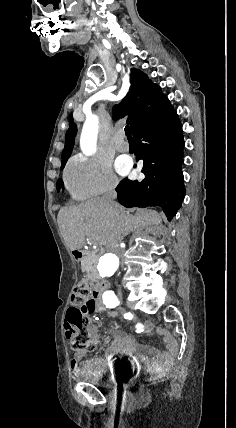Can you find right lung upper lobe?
I'll list each match as a JSON object with an SVG mask.
<instances>
[{"label":"right lung upper lobe","mask_w":236,"mask_h":428,"mask_svg":"<svg viewBox=\"0 0 236 428\" xmlns=\"http://www.w3.org/2000/svg\"><path fill=\"white\" fill-rule=\"evenodd\" d=\"M131 82L130 91L119 105L114 106L113 114L115 119L129 115L127 123L134 131L143 122L166 111L171 105L168 98L161 92V88L153 84L142 71L132 68ZM76 132L77 127L71 115L62 152L61 169L71 155Z\"/></svg>","instance_id":"1"}]
</instances>
